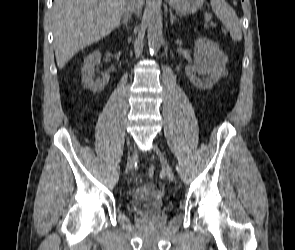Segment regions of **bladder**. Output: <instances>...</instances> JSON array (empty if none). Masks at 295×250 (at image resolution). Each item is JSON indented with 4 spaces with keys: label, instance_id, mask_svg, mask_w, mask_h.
<instances>
[{
    "label": "bladder",
    "instance_id": "31cf9c89",
    "mask_svg": "<svg viewBox=\"0 0 295 250\" xmlns=\"http://www.w3.org/2000/svg\"><path fill=\"white\" fill-rule=\"evenodd\" d=\"M131 205L138 215L154 216L162 210L163 194L154 183H143L133 191Z\"/></svg>",
    "mask_w": 295,
    "mask_h": 250
}]
</instances>
